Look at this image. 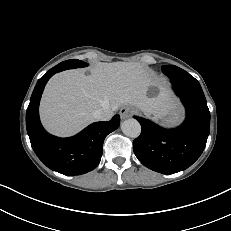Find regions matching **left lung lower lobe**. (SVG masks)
Here are the masks:
<instances>
[{
  "label": "left lung lower lobe",
  "mask_w": 231,
  "mask_h": 231,
  "mask_svg": "<svg viewBox=\"0 0 231 231\" xmlns=\"http://www.w3.org/2000/svg\"><path fill=\"white\" fill-rule=\"evenodd\" d=\"M186 109L177 128L164 129L135 116L142 132L133 141L138 160L153 171L173 174L191 166L203 152L210 131V112L199 82L179 67L164 69Z\"/></svg>",
  "instance_id": "obj_1"
}]
</instances>
